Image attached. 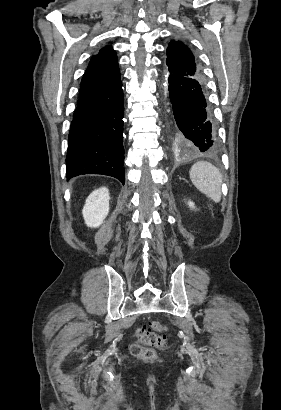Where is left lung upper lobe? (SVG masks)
<instances>
[{
	"mask_svg": "<svg viewBox=\"0 0 281 410\" xmlns=\"http://www.w3.org/2000/svg\"><path fill=\"white\" fill-rule=\"evenodd\" d=\"M167 73L203 80L200 64L190 49L180 41L172 40L167 48Z\"/></svg>",
	"mask_w": 281,
	"mask_h": 410,
	"instance_id": "obj_1",
	"label": "left lung upper lobe"
}]
</instances>
